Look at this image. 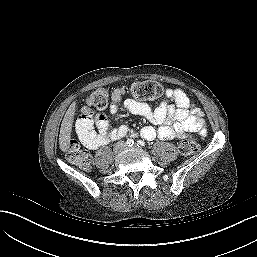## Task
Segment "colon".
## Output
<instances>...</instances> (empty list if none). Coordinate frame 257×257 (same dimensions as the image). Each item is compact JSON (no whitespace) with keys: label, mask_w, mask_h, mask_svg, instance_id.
Returning <instances> with one entry per match:
<instances>
[{"label":"colon","mask_w":257,"mask_h":257,"mask_svg":"<svg viewBox=\"0 0 257 257\" xmlns=\"http://www.w3.org/2000/svg\"><path fill=\"white\" fill-rule=\"evenodd\" d=\"M132 95L140 100H155L163 94L161 84L155 81H140L131 85ZM109 93L106 88L96 89L87 99V105L92 114L96 110L105 109L108 105ZM199 144L195 138L184 140L179 147L182 156L187 157L196 153ZM68 160L81 168H87L90 165V155L84 150L76 140H70L67 148Z\"/></svg>","instance_id":"colon-1"}]
</instances>
